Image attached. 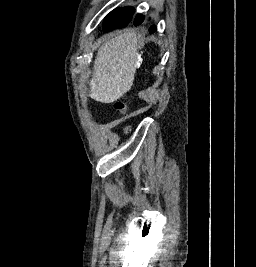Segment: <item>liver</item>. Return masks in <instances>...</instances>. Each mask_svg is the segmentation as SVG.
<instances>
[{"label": "liver", "instance_id": "1", "mask_svg": "<svg viewBox=\"0 0 256 267\" xmlns=\"http://www.w3.org/2000/svg\"><path fill=\"white\" fill-rule=\"evenodd\" d=\"M137 42L134 30H124L99 48L89 82L92 100L112 104L131 90L139 62Z\"/></svg>", "mask_w": 256, "mask_h": 267}]
</instances>
